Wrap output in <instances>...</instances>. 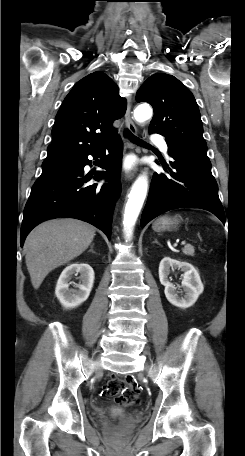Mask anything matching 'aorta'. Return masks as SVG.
Here are the masks:
<instances>
[{
  "mask_svg": "<svg viewBox=\"0 0 245 456\" xmlns=\"http://www.w3.org/2000/svg\"><path fill=\"white\" fill-rule=\"evenodd\" d=\"M153 110L149 104H140L134 110V117L138 122H144L152 117ZM148 189V178L146 174H141L135 180L128 195L125 206L123 226L127 240L132 238L135 223L144 203Z\"/></svg>",
  "mask_w": 245,
  "mask_h": 456,
  "instance_id": "aorta-1",
  "label": "aorta"
}]
</instances>
